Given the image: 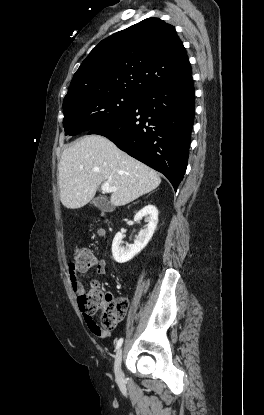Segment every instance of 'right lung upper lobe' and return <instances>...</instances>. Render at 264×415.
I'll list each match as a JSON object with an SVG mask.
<instances>
[{"label": "right lung upper lobe", "mask_w": 264, "mask_h": 415, "mask_svg": "<svg viewBox=\"0 0 264 415\" xmlns=\"http://www.w3.org/2000/svg\"><path fill=\"white\" fill-rule=\"evenodd\" d=\"M191 72L174 26L147 18L101 41L74 74L64 100L107 92L140 96Z\"/></svg>", "instance_id": "1"}]
</instances>
